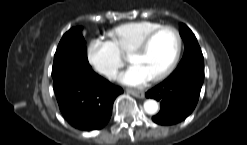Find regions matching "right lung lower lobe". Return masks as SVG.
Masks as SVG:
<instances>
[{
    "label": "right lung lower lobe",
    "mask_w": 247,
    "mask_h": 145,
    "mask_svg": "<svg viewBox=\"0 0 247 145\" xmlns=\"http://www.w3.org/2000/svg\"><path fill=\"white\" fill-rule=\"evenodd\" d=\"M53 87L65 119L80 130H98L109 121L120 87L97 75L88 62L72 61L52 71Z\"/></svg>",
    "instance_id": "98d812e1"
}]
</instances>
